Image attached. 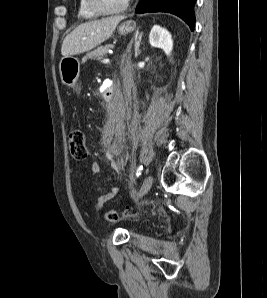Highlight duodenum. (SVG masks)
I'll return each instance as SVG.
<instances>
[{"mask_svg": "<svg viewBox=\"0 0 267 298\" xmlns=\"http://www.w3.org/2000/svg\"><path fill=\"white\" fill-rule=\"evenodd\" d=\"M114 86H118L115 80L110 79L108 87L105 91L104 97L105 99L113 98ZM106 105H110L109 100H104V104H101V109H106Z\"/></svg>", "mask_w": 267, "mask_h": 298, "instance_id": "410a0bca", "label": "duodenum"}]
</instances>
